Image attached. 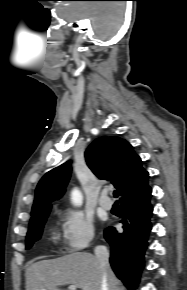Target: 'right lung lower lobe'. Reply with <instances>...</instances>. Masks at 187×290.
<instances>
[{"mask_svg":"<svg viewBox=\"0 0 187 290\" xmlns=\"http://www.w3.org/2000/svg\"><path fill=\"white\" fill-rule=\"evenodd\" d=\"M150 198L151 193L143 200L121 205L122 233L112 227L104 231L105 239L111 246L112 269L129 290H135L144 266V253L152 228Z\"/></svg>","mask_w":187,"mask_h":290,"instance_id":"obj_1","label":"right lung lower lobe"}]
</instances>
